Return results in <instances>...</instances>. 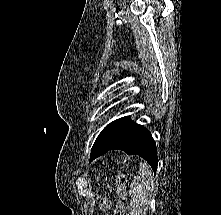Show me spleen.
Listing matches in <instances>:
<instances>
[{
  "instance_id": "3e777b00",
  "label": "spleen",
  "mask_w": 221,
  "mask_h": 215,
  "mask_svg": "<svg viewBox=\"0 0 221 215\" xmlns=\"http://www.w3.org/2000/svg\"><path fill=\"white\" fill-rule=\"evenodd\" d=\"M155 188L151 167L145 162H140L139 176L133 180L129 190L131 215H146Z\"/></svg>"
}]
</instances>
